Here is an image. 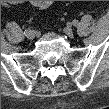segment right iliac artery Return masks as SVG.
Segmentation results:
<instances>
[{"label":"right iliac artery","instance_id":"obj_1","mask_svg":"<svg viewBox=\"0 0 109 109\" xmlns=\"http://www.w3.org/2000/svg\"><path fill=\"white\" fill-rule=\"evenodd\" d=\"M29 31H30V29H26L24 33L26 34V33L29 32Z\"/></svg>","mask_w":109,"mask_h":109}]
</instances>
